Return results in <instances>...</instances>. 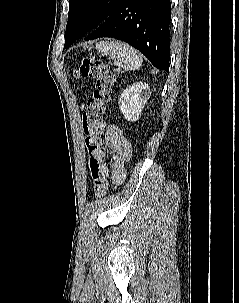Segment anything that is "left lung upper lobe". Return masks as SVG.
<instances>
[{"label": "left lung upper lobe", "mask_w": 239, "mask_h": 303, "mask_svg": "<svg viewBox=\"0 0 239 303\" xmlns=\"http://www.w3.org/2000/svg\"><path fill=\"white\" fill-rule=\"evenodd\" d=\"M120 0H69L64 48L100 26Z\"/></svg>", "instance_id": "left-lung-upper-lobe-1"}]
</instances>
